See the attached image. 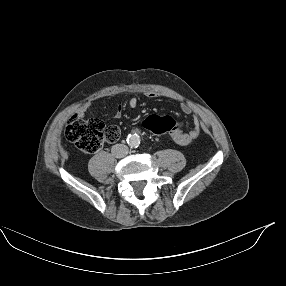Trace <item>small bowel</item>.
I'll return each mask as SVG.
<instances>
[{
  "label": "small bowel",
  "mask_w": 286,
  "mask_h": 286,
  "mask_svg": "<svg viewBox=\"0 0 286 286\" xmlns=\"http://www.w3.org/2000/svg\"><path fill=\"white\" fill-rule=\"evenodd\" d=\"M145 95L146 97L151 99L156 98L158 96V94L153 91L147 92ZM128 106L131 108H136L138 106V99L135 96L130 97L128 100ZM86 108L87 107L82 108L81 114L86 110ZM122 111H123V106L119 105L116 109L115 117L119 118L122 115ZM183 111L185 113H190L191 109L190 107L185 105L183 107ZM200 127H201V122L198 119H196L195 127L192 130L185 132L179 126H176L170 132V136L174 141V143L177 144L178 146L187 147L191 145L192 142L199 136Z\"/></svg>",
  "instance_id": "1"
}]
</instances>
